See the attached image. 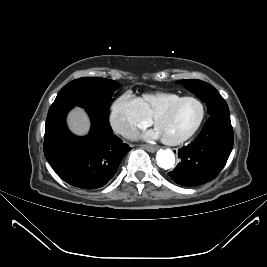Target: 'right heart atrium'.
Returning <instances> with one entry per match:
<instances>
[{
  "label": "right heart atrium",
  "mask_w": 267,
  "mask_h": 267,
  "mask_svg": "<svg viewBox=\"0 0 267 267\" xmlns=\"http://www.w3.org/2000/svg\"><path fill=\"white\" fill-rule=\"evenodd\" d=\"M109 121L116 133L127 138L134 136L137 130L151 123V119L142 110L138 98L129 92L122 93L113 100Z\"/></svg>",
  "instance_id": "d8ad5b80"
}]
</instances>
